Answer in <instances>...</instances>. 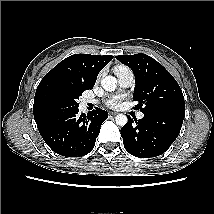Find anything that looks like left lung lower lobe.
Masks as SVG:
<instances>
[{
    "instance_id": "1",
    "label": "left lung lower lobe",
    "mask_w": 214,
    "mask_h": 214,
    "mask_svg": "<svg viewBox=\"0 0 214 214\" xmlns=\"http://www.w3.org/2000/svg\"><path fill=\"white\" fill-rule=\"evenodd\" d=\"M183 119L166 114H144L139 120L128 117V123L121 129L124 147L136 157L159 156L177 138Z\"/></svg>"
}]
</instances>
